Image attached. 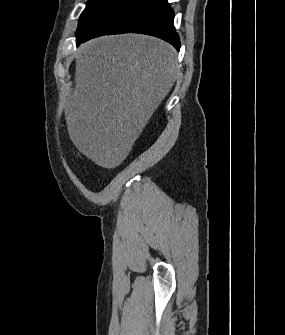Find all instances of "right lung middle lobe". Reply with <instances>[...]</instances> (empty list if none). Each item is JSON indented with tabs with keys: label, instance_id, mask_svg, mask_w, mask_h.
I'll return each instance as SVG.
<instances>
[{
	"label": "right lung middle lobe",
	"instance_id": "right-lung-middle-lobe-1",
	"mask_svg": "<svg viewBox=\"0 0 285 335\" xmlns=\"http://www.w3.org/2000/svg\"><path fill=\"white\" fill-rule=\"evenodd\" d=\"M121 0H88L87 6L81 14L77 33L76 41L80 42L89 29L111 11Z\"/></svg>",
	"mask_w": 285,
	"mask_h": 335
}]
</instances>
